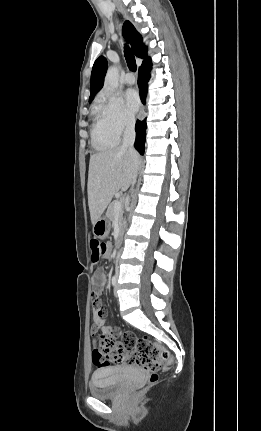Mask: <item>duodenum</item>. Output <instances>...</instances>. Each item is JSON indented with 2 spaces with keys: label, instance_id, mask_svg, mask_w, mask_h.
Segmentation results:
<instances>
[{
  "label": "duodenum",
  "instance_id": "410a0bca",
  "mask_svg": "<svg viewBox=\"0 0 261 431\" xmlns=\"http://www.w3.org/2000/svg\"><path fill=\"white\" fill-rule=\"evenodd\" d=\"M122 236H123V231H122V229H119L117 234H116V244L120 243Z\"/></svg>",
  "mask_w": 261,
  "mask_h": 431
}]
</instances>
